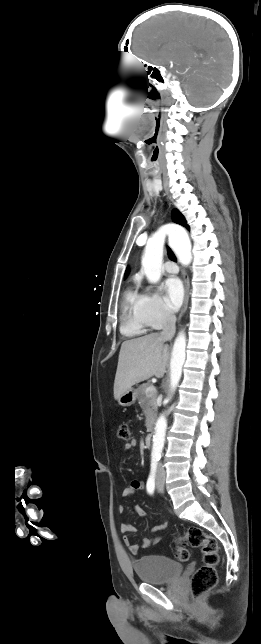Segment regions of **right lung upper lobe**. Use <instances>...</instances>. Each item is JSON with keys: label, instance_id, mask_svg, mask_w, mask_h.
Returning a JSON list of instances; mask_svg holds the SVG:
<instances>
[{"label": "right lung upper lobe", "instance_id": "1", "mask_svg": "<svg viewBox=\"0 0 261 644\" xmlns=\"http://www.w3.org/2000/svg\"><path fill=\"white\" fill-rule=\"evenodd\" d=\"M172 218H173V221L175 223L180 224V225L186 227L187 229H189V226L186 224V220H185L184 216L178 210H174L172 212ZM127 273H128V270L126 271L125 276L127 275Z\"/></svg>", "mask_w": 261, "mask_h": 644}]
</instances>
